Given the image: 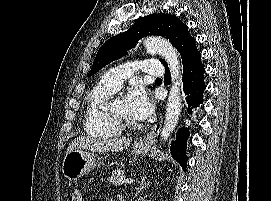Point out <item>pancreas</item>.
Masks as SVG:
<instances>
[{"label":"pancreas","mask_w":271,"mask_h":201,"mask_svg":"<svg viewBox=\"0 0 271 201\" xmlns=\"http://www.w3.org/2000/svg\"><path fill=\"white\" fill-rule=\"evenodd\" d=\"M107 181L111 184H114L115 186L124 184L122 172H119L118 170H113L112 174L107 178Z\"/></svg>","instance_id":"pancreas-1"}]
</instances>
